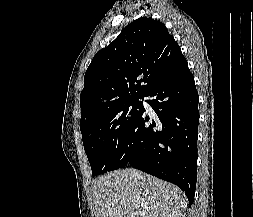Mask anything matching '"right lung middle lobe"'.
I'll return each instance as SVG.
<instances>
[{
  "instance_id": "dd1d6c3e",
  "label": "right lung middle lobe",
  "mask_w": 253,
  "mask_h": 217,
  "mask_svg": "<svg viewBox=\"0 0 253 217\" xmlns=\"http://www.w3.org/2000/svg\"><path fill=\"white\" fill-rule=\"evenodd\" d=\"M140 98L110 106L80 125L93 176L111 171L117 153L144 110Z\"/></svg>"
}]
</instances>
